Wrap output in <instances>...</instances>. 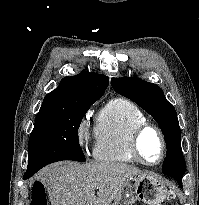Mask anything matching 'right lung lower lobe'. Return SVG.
I'll return each instance as SVG.
<instances>
[{
	"instance_id": "right-lung-lower-lobe-1",
	"label": "right lung lower lobe",
	"mask_w": 199,
	"mask_h": 205,
	"mask_svg": "<svg viewBox=\"0 0 199 205\" xmlns=\"http://www.w3.org/2000/svg\"><path fill=\"white\" fill-rule=\"evenodd\" d=\"M31 176H26V175H24V179H28V178H30Z\"/></svg>"
}]
</instances>
